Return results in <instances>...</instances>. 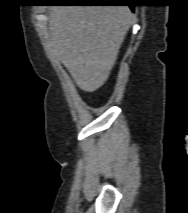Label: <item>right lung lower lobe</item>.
<instances>
[{"label": "right lung lower lobe", "instance_id": "98d812e1", "mask_svg": "<svg viewBox=\"0 0 188 213\" xmlns=\"http://www.w3.org/2000/svg\"><path fill=\"white\" fill-rule=\"evenodd\" d=\"M90 1H101V0H90ZM59 2H61V1H56V2H53V3H59ZM84 3H111V2H84ZM129 7H130L131 9L134 8L133 5H130Z\"/></svg>", "mask_w": 188, "mask_h": 213}]
</instances>
